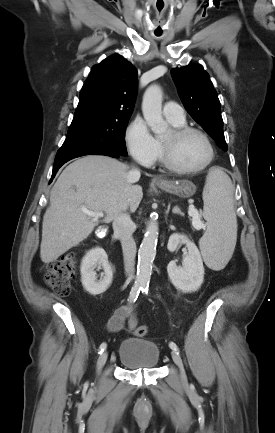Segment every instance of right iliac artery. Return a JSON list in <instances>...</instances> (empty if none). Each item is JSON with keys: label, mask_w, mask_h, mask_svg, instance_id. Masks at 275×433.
Instances as JSON below:
<instances>
[{"label": "right iliac artery", "mask_w": 275, "mask_h": 433, "mask_svg": "<svg viewBox=\"0 0 275 433\" xmlns=\"http://www.w3.org/2000/svg\"><path fill=\"white\" fill-rule=\"evenodd\" d=\"M141 290H142V286L134 285L130 291L128 301L130 303L135 302L137 300L138 295H139ZM106 347H107V344L105 342H103L99 347V354H101L106 349Z\"/></svg>", "instance_id": "obj_1"}]
</instances>
